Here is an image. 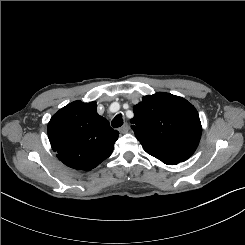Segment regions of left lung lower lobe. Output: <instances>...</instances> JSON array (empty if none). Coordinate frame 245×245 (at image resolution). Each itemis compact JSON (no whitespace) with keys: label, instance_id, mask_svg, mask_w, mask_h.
I'll list each match as a JSON object with an SVG mask.
<instances>
[{"label":"left lung lower lobe","instance_id":"left-lung-lower-lobe-1","mask_svg":"<svg viewBox=\"0 0 245 245\" xmlns=\"http://www.w3.org/2000/svg\"><path fill=\"white\" fill-rule=\"evenodd\" d=\"M143 148L148 154H150V155L154 156L155 158L161 160L163 163H165L167 165H175V164H178V163L186 160L185 158L166 154V153H163L161 151H157V150L150 149L147 147H143Z\"/></svg>","mask_w":245,"mask_h":245}]
</instances>
